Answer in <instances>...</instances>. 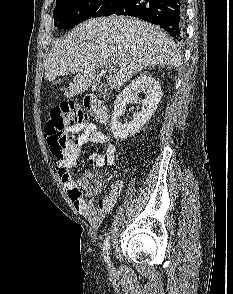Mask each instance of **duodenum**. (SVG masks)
I'll list each match as a JSON object with an SVG mask.
<instances>
[{"label":"duodenum","instance_id":"obj_1","mask_svg":"<svg viewBox=\"0 0 233 294\" xmlns=\"http://www.w3.org/2000/svg\"><path fill=\"white\" fill-rule=\"evenodd\" d=\"M84 106L90 114L99 122L106 123L108 121V111L105 105L94 95H87L83 101Z\"/></svg>","mask_w":233,"mask_h":294}]
</instances>
